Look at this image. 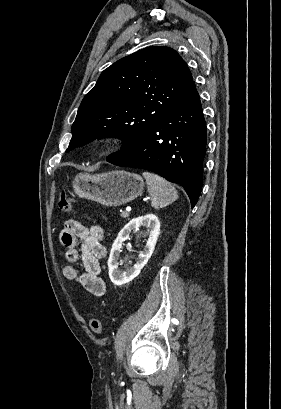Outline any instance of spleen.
<instances>
[{"instance_id": "3e777b00", "label": "spleen", "mask_w": 281, "mask_h": 409, "mask_svg": "<svg viewBox=\"0 0 281 409\" xmlns=\"http://www.w3.org/2000/svg\"><path fill=\"white\" fill-rule=\"evenodd\" d=\"M147 182V190L151 196V205L154 209H163L171 202L177 200L178 192L168 180L153 174V172H142Z\"/></svg>"}]
</instances>
